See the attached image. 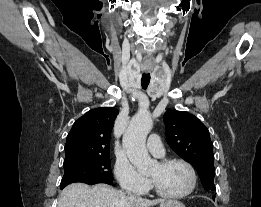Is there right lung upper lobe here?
Segmentation results:
<instances>
[{
  "label": "right lung upper lobe",
  "instance_id": "obj_1",
  "mask_svg": "<svg viewBox=\"0 0 261 207\" xmlns=\"http://www.w3.org/2000/svg\"><path fill=\"white\" fill-rule=\"evenodd\" d=\"M118 110L96 108L77 119L65 145V160L109 155L110 135Z\"/></svg>",
  "mask_w": 261,
  "mask_h": 207
}]
</instances>
